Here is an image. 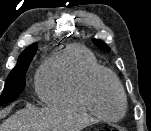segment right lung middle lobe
<instances>
[{"label":"right lung middle lobe","instance_id":"obj_1","mask_svg":"<svg viewBox=\"0 0 151 131\" xmlns=\"http://www.w3.org/2000/svg\"><path fill=\"white\" fill-rule=\"evenodd\" d=\"M37 51V45L28 47L19 56L17 65L8 75L4 90L1 94L0 105L7 104L15 100L25 87L26 71Z\"/></svg>","mask_w":151,"mask_h":131}]
</instances>
